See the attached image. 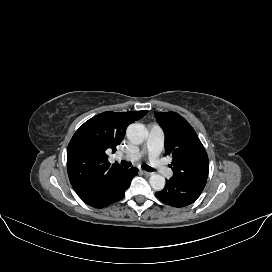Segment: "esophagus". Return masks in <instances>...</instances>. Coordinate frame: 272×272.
I'll use <instances>...</instances> for the list:
<instances>
[{
    "mask_svg": "<svg viewBox=\"0 0 272 272\" xmlns=\"http://www.w3.org/2000/svg\"><path fill=\"white\" fill-rule=\"evenodd\" d=\"M143 174H144L145 176H151V175H152V173L147 172V171H143Z\"/></svg>",
    "mask_w": 272,
    "mask_h": 272,
    "instance_id": "obj_1",
    "label": "esophagus"
}]
</instances>
